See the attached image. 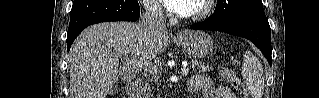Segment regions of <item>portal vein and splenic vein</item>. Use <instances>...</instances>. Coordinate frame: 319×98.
<instances>
[{
  "mask_svg": "<svg viewBox=\"0 0 319 98\" xmlns=\"http://www.w3.org/2000/svg\"><path fill=\"white\" fill-rule=\"evenodd\" d=\"M131 64L133 66H136L138 68H143L146 71H152L155 68L153 66H151V64L147 61H145L143 58L139 57V55H134V57L131 60ZM182 75L187 76L189 73V68L188 66H183L182 70H181Z\"/></svg>",
  "mask_w": 319,
  "mask_h": 98,
  "instance_id": "portal-vein-and-splenic-vein-1",
  "label": "portal vein and splenic vein"
}]
</instances>
